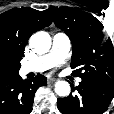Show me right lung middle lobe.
<instances>
[{
	"label": "right lung middle lobe",
	"mask_w": 114,
	"mask_h": 114,
	"mask_svg": "<svg viewBox=\"0 0 114 114\" xmlns=\"http://www.w3.org/2000/svg\"><path fill=\"white\" fill-rule=\"evenodd\" d=\"M19 68L16 69H9V68H2L0 66V82L6 81L11 78L13 75L18 73Z\"/></svg>",
	"instance_id": "dd1d6c3e"
}]
</instances>
